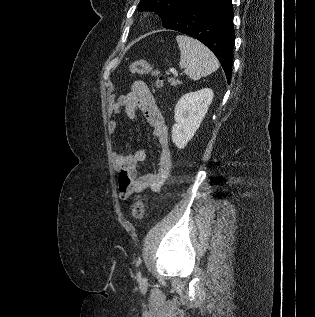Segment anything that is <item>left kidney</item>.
Masks as SVG:
<instances>
[{"instance_id":"1","label":"left kidney","mask_w":315,"mask_h":317,"mask_svg":"<svg viewBox=\"0 0 315 317\" xmlns=\"http://www.w3.org/2000/svg\"><path fill=\"white\" fill-rule=\"evenodd\" d=\"M213 91L204 88L183 95L175 107V124L172 127V141L184 148L193 138L213 100Z\"/></svg>"}]
</instances>
